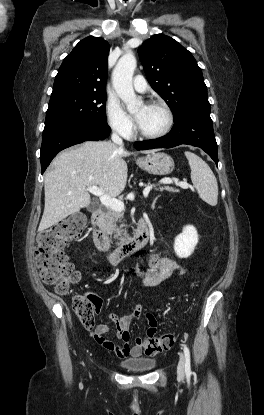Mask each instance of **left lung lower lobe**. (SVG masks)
<instances>
[{
    "label": "left lung lower lobe",
    "mask_w": 264,
    "mask_h": 415,
    "mask_svg": "<svg viewBox=\"0 0 264 415\" xmlns=\"http://www.w3.org/2000/svg\"><path fill=\"white\" fill-rule=\"evenodd\" d=\"M172 130L165 136L136 142L137 150L171 148L188 144L203 149L218 166L217 143L210 118V108H196L182 114L174 121Z\"/></svg>",
    "instance_id": "0a47b994"
}]
</instances>
